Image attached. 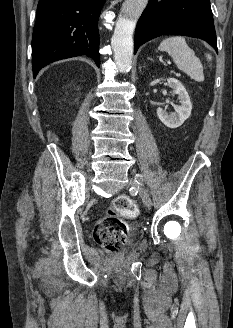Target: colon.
<instances>
[{
	"label": "colon",
	"mask_w": 233,
	"mask_h": 328,
	"mask_svg": "<svg viewBox=\"0 0 233 328\" xmlns=\"http://www.w3.org/2000/svg\"><path fill=\"white\" fill-rule=\"evenodd\" d=\"M139 212L136 202L128 196L117 197L107 215L94 228L95 241L111 253H118L124 246L129 230L122 218L136 217Z\"/></svg>",
	"instance_id": "obj_1"
}]
</instances>
